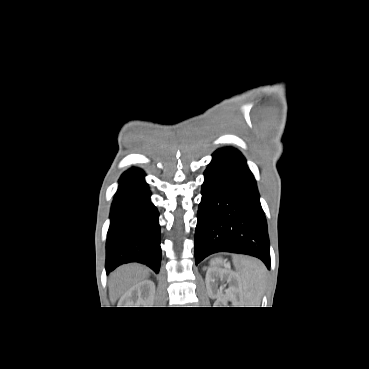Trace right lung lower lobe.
Returning a JSON list of instances; mask_svg holds the SVG:
<instances>
[{"instance_id":"right-lung-lower-lobe-1","label":"right lung lower lobe","mask_w":369,"mask_h":369,"mask_svg":"<svg viewBox=\"0 0 369 369\" xmlns=\"http://www.w3.org/2000/svg\"><path fill=\"white\" fill-rule=\"evenodd\" d=\"M145 174L126 171L111 207L106 243V272L129 262L146 264L156 273L161 260L159 213L150 201Z\"/></svg>"}]
</instances>
